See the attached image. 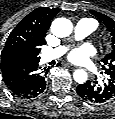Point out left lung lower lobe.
<instances>
[{
    "label": "left lung lower lobe",
    "mask_w": 115,
    "mask_h": 119,
    "mask_svg": "<svg viewBox=\"0 0 115 119\" xmlns=\"http://www.w3.org/2000/svg\"><path fill=\"white\" fill-rule=\"evenodd\" d=\"M77 93L85 99L97 102H105L115 96V78H108L105 83L88 81L78 85Z\"/></svg>",
    "instance_id": "0a47b994"
}]
</instances>
